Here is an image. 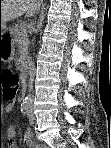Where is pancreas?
Masks as SVG:
<instances>
[{"mask_svg":"<svg viewBox=\"0 0 111 148\" xmlns=\"http://www.w3.org/2000/svg\"><path fill=\"white\" fill-rule=\"evenodd\" d=\"M15 34V42L17 43L19 50L22 54L27 52V33H26V25L21 23L20 25H16L14 29Z\"/></svg>","mask_w":111,"mask_h":148,"instance_id":"pancreas-1","label":"pancreas"}]
</instances>
